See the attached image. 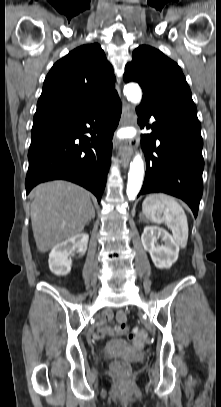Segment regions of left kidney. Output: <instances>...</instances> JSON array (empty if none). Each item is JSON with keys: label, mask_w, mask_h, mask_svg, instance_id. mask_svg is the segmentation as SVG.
<instances>
[{"label": "left kidney", "mask_w": 221, "mask_h": 407, "mask_svg": "<svg viewBox=\"0 0 221 407\" xmlns=\"http://www.w3.org/2000/svg\"><path fill=\"white\" fill-rule=\"evenodd\" d=\"M158 238H161L163 242L160 246L155 245ZM141 241L157 268L169 269L177 261L179 245L165 229L157 226H146L141 235Z\"/></svg>", "instance_id": "obj_1"}]
</instances>
